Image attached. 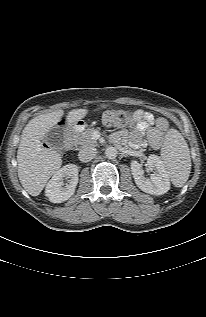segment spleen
Listing matches in <instances>:
<instances>
[{"mask_svg": "<svg viewBox=\"0 0 206 317\" xmlns=\"http://www.w3.org/2000/svg\"><path fill=\"white\" fill-rule=\"evenodd\" d=\"M161 160L175 187H182L188 180L191 159L188 145L179 131L170 128L161 148Z\"/></svg>", "mask_w": 206, "mask_h": 317, "instance_id": "3e777b00", "label": "spleen"}]
</instances>
